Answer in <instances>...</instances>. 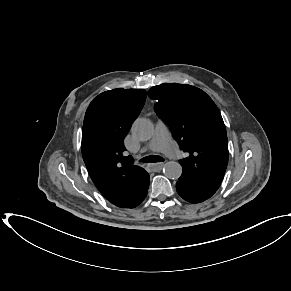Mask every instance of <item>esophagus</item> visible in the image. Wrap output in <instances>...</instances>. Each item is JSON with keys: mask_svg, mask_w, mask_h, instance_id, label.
I'll return each instance as SVG.
<instances>
[{"mask_svg": "<svg viewBox=\"0 0 291 291\" xmlns=\"http://www.w3.org/2000/svg\"><path fill=\"white\" fill-rule=\"evenodd\" d=\"M163 166H164V163H155V164L150 165L152 171L154 172L160 171L163 168Z\"/></svg>", "mask_w": 291, "mask_h": 291, "instance_id": "esophagus-1", "label": "esophagus"}]
</instances>
